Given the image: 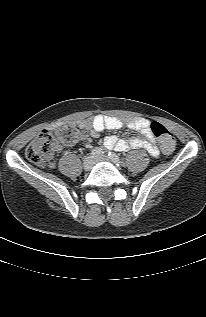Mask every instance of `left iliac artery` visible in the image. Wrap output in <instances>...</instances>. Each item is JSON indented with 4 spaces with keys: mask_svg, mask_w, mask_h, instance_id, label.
Masks as SVG:
<instances>
[{
    "mask_svg": "<svg viewBox=\"0 0 206 317\" xmlns=\"http://www.w3.org/2000/svg\"><path fill=\"white\" fill-rule=\"evenodd\" d=\"M109 158L115 162L117 165H120L122 163L121 159L113 152L108 153Z\"/></svg>",
    "mask_w": 206,
    "mask_h": 317,
    "instance_id": "44dca946",
    "label": "left iliac artery"
}]
</instances>
